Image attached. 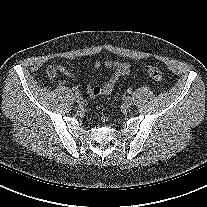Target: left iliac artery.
Returning <instances> with one entry per match:
<instances>
[{"label": "left iliac artery", "instance_id": "obj_1", "mask_svg": "<svg viewBox=\"0 0 207 207\" xmlns=\"http://www.w3.org/2000/svg\"><path fill=\"white\" fill-rule=\"evenodd\" d=\"M132 91H133L132 88H128V89H127V93H129V94H131Z\"/></svg>", "mask_w": 207, "mask_h": 207}]
</instances>
